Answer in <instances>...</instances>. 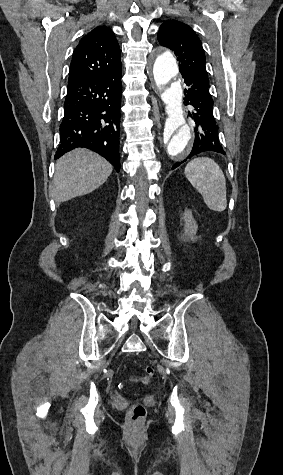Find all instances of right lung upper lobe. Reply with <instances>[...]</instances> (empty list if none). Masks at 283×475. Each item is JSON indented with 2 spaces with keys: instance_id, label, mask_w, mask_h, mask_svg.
Wrapping results in <instances>:
<instances>
[{
  "instance_id": "obj_1",
  "label": "right lung upper lobe",
  "mask_w": 283,
  "mask_h": 475,
  "mask_svg": "<svg viewBox=\"0 0 283 475\" xmlns=\"http://www.w3.org/2000/svg\"><path fill=\"white\" fill-rule=\"evenodd\" d=\"M120 48L109 27L99 26L85 35L75 48L68 82L99 79L120 72Z\"/></svg>"
}]
</instances>
